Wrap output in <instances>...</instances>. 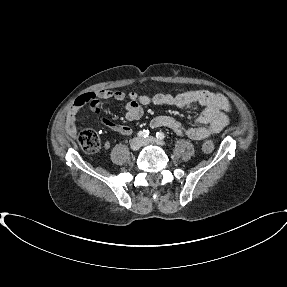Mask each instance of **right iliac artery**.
<instances>
[{"label":"right iliac artery","mask_w":287,"mask_h":287,"mask_svg":"<svg viewBox=\"0 0 287 287\" xmlns=\"http://www.w3.org/2000/svg\"><path fill=\"white\" fill-rule=\"evenodd\" d=\"M148 135H149V130H141L138 132V136L140 138H146L148 137Z\"/></svg>","instance_id":"right-iliac-artery-1"}]
</instances>
